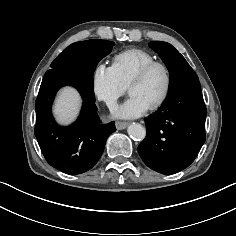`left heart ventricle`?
<instances>
[{"mask_svg": "<svg viewBox=\"0 0 236 236\" xmlns=\"http://www.w3.org/2000/svg\"><path fill=\"white\" fill-rule=\"evenodd\" d=\"M166 84L165 73L161 68L153 69L144 81L131 87L130 95H136L149 106L162 95Z\"/></svg>", "mask_w": 236, "mask_h": 236, "instance_id": "1", "label": "left heart ventricle"}]
</instances>
